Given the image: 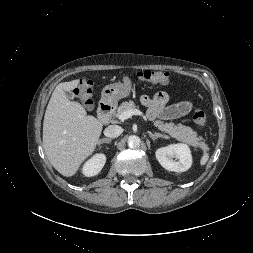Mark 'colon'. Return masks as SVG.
Returning a JSON list of instances; mask_svg holds the SVG:
<instances>
[{
    "instance_id": "colon-1",
    "label": "colon",
    "mask_w": 253,
    "mask_h": 253,
    "mask_svg": "<svg viewBox=\"0 0 253 253\" xmlns=\"http://www.w3.org/2000/svg\"><path fill=\"white\" fill-rule=\"evenodd\" d=\"M139 80L152 84H167L170 81V74L163 71L144 70L137 73ZM92 81L89 79H81L74 89L75 95L83 102L87 108L92 107ZM192 119L199 127H204L207 123L205 112L196 108L193 112Z\"/></svg>"
}]
</instances>
